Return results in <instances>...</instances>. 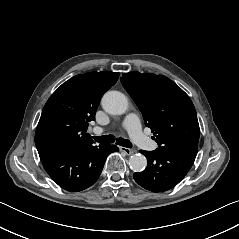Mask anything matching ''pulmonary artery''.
<instances>
[{
    "label": "pulmonary artery",
    "instance_id": "1",
    "mask_svg": "<svg viewBox=\"0 0 239 239\" xmlns=\"http://www.w3.org/2000/svg\"><path fill=\"white\" fill-rule=\"evenodd\" d=\"M124 127L127 130L131 140L138 145L143 143L149 138L143 134L138 117L135 114H128L124 120ZM94 135H100L103 130L100 127H94L91 129Z\"/></svg>",
    "mask_w": 239,
    "mask_h": 239
}]
</instances>
